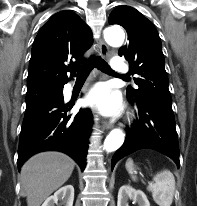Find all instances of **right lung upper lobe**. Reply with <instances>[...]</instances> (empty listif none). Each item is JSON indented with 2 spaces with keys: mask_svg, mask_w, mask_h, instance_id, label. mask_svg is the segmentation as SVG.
<instances>
[{
  "mask_svg": "<svg viewBox=\"0 0 197 206\" xmlns=\"http://www.w3.org/2000/svg\"><path fill=\"white\" fill-rule=\"evenodd\" d=\"M86 23L72 11L54 14L38 32L32 46L27 88L63 89L84 62L83 54L92 43ZM70 72V77L67 76Z\"/></svg>",
  "mask_w": 197,
  "mask_h": 206,
  "instance_id": "obj_1",
  "label": "right lung upper lobe"
}]
</instances>
